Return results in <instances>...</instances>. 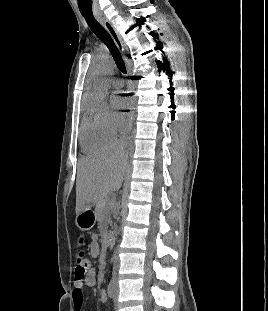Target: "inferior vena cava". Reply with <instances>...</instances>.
Masks as SVG:
<instances>
[{
    "mask_svg": "<svg viewBox=\"0 0 268 311\" xmlns=\"http://www.w3.org/2000/svg\"><path fill=\"white\" fill-rule=\"evenodd\" d=\"M119 147H122L123 146V143L121 142V143H119V145H118ZM114 259L116 260V256H114Z\"/></svg>",
    "mask_w": 268,
    "mask_h": 311,
    "instance_id": "inferior-vena-cava-1",
    "label": "inferior vena cava"
}]
</instances>
